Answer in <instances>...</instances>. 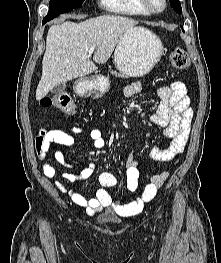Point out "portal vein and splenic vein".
Segmentation results:
<instances>
[{
  "label": "portal vein and splenic vein",
  "mask_w": 221,
  "mask_h": 263,
  "mask_svg": "<svg viewBox=\"0 0 221 263\" xmlns=\"http://www.w3.org/2000/svg\"><path fill=\"white\" fill-rule=\"evenodd\" d=\"M94 51H95V47H91L88 51V55L91 56Z\"/></svg>",
  "instance_id": "18ae733b"
}]
</instances>
